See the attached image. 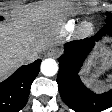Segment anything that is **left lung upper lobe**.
Instances as JSON below:
<instances>
[{
  "instance_id": "1",
  "label": "left lung upper lobe",
  "mask_w": 112,
  "mask_h": 112,
  "mask_svg": "<svg viewBox=\"0 0 112 112\" xmlns=\"http://www.w3.org/2000/svg\"><path fill=\"white\" fill-rule=\"evenodd\" d=\"M106 15H107L106 24H112V14L106 13Z\"/></svg>"
}]
</instances>
